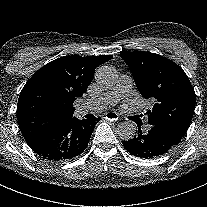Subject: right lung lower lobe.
Listing matches in <instances>:
<instances>
[{"label":"right lung lower lobe","instance_id":"right-lung-lower-lobe-1","mask_svg":"<svg viewBox=\"0 0 207 207\" xmlns=\"http://www.w3.org/2000/svg\"><path fill=\"white\" fill-rule=\"evenodd\" d=\"M94 119L79 120L72 117L55 130L27 143L36 154L48 161L62 162L72 159L87 148L93 129L100 118Z\"/></svg>","mask_w":207,"mask_h":207}]
</instances>
